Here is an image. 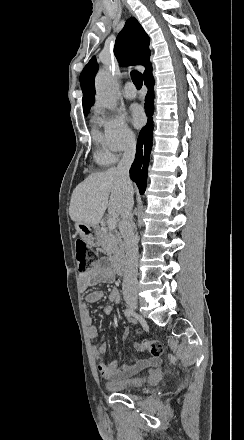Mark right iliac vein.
Returning <instances> with one entry per match:
<instances>
[{"instance_id": "63e3f726", "label": "right iliac vein", "mask_w": 244, "mask_h": 440, "mask_svg": "<svg viewBox=\"0 0 244 440\" xmlns=\"http://www.w3.org/2000/svg\"><path fill=\"white\" fill-rule=\"evenodd\" d=\"M125 301H126L127 305H129V307H131L132 309L135 310L138 308L137 295L133 294V295L126 296Z\"/></svg>"}]
</instances>
